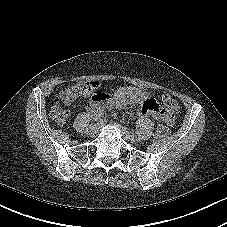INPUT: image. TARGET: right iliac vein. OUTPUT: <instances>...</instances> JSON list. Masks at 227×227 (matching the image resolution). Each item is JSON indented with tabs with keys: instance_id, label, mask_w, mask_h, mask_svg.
<instances>
[{
	"instance_id": "1",
	"label": "right iliac vein",
	"mask_w": 227,
	"mask_h": 227,
	"mask_svg": "<svg viewBox=\"0 0 227 227\" xmlns=\"http://www.w3.org/2000/svg\"><path fill=\"white\" fill-rule=\"evenodd\" d=\"M99 131V125L97 126H94V125H91L90 127V135L91 136H95Z\"/></svg>"
}]
</instances>
